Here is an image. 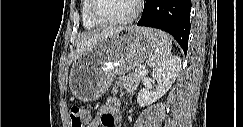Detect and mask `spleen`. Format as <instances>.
<instances>
[{
	"label": "spleen",
	"mask_w": 243,
	"mask_h": 127,
	"mask_svg": "<svg viewBox=\"0 0 243 127\" xmlns=\"http://www.w3.org/2000/svg\"><path fill=\"white\" fill-rule=\"evenodd\" d=\"M149 39L153 41V51L148 64L156 69L169 59L172 43L170 37L161 31H150Z\"/></svg>",
	"instance_id": "3e777b00"
}]
</instances>
